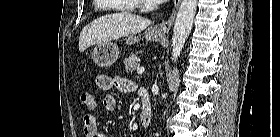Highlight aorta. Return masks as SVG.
Instances as JSON below:
<instances>
[{"instance_id":"obj_1","label":"aorta","mask_w":280,"mask_h":137,"mask_svg":"<svg viewBox=\"0 0 280 137\" xmlns=\"http://www.w3.org/2000/svg\"><path fill=\"white\" fill-rule=\"evenodd\" d=\"M197 0H182L172 35V58L178 59L192 28Z\"/></svg>"}]
</instances>
